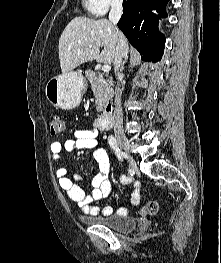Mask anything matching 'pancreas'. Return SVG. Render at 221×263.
I'll list each match as a JSON object with an SVG mask.
<instances>
[{"label": "pancreas", "instance_id": "pancreas-1", "mask_svg": "<svg viewBox=\"0 0 221 263\" xmlns=\"http://www.w3.org/2000/svg\"><path fill=\"white\" fill-rule=\"evenodd\" d=\"M85 74L96 98V109L98 112H102L106 104L112 99L111 85L105 80L103 75L97 74L92 70H87Z\"/></svg>", "mask_w": 221, "mask_h": 263}]
</instances>
